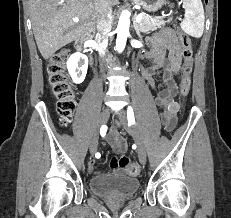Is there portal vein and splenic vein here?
<instances>
[{
	"label": "portal vein and splenic vein",
	"instance_id": "portal-vein-and-splenic-vein-1",
	"mask_svg": "<svg viewBox=\"0 0 231 218\" xmlns=\"http://www.w3.org/2000/svg\"><path fill=\"white\" fill-rule=\"evenodd\" d=\"M142 15H138L137 17H136V22L137 23H140V21L142 20ZM157 18H161V17H157ZM73 22H79V18H73Z\"/></svg>",
	"mask_w": 231,
	"mask_h": 218
}]
</instances>
